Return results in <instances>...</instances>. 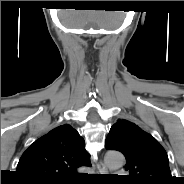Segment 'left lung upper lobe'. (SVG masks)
I'll return each instance as SVG.
<instances>
[{
    "label": "left lung upper lobe",
    "mask_w": 184,
    "mask_h": 184,
    "mask_svg": "<svg viewBox=\"0 0 184 184\" xmlns=\"http://www.w3.org/2000/svg\"><path fill=\"white\" fill-rule=\"evenodd\" d=\"M106 149L122 152L126 158V179L132 184H170L168 156L160 143L136 124L118 119L105 142Z\"/></svg>",
    "instance_id": "left-lung-upper-lobe-1"
}]
</instances>
